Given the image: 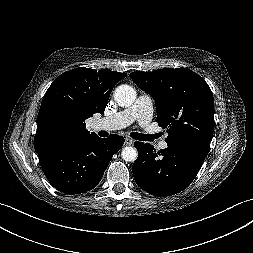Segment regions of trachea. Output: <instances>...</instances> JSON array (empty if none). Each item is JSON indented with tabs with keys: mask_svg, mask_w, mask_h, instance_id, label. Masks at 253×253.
Returning a JSON list of instances; mask_svg holds the SVG:
<instances>
[{
	"mask_svg": "<svg viewBox=\"0 0 253 253\" xmlns=\"http://www.w3.org/2000/svg\"><path fill=\"white\" fill-rule=\"evenodd\" d=\"M132 138L136 139V140H140V141H147L148 136L146 134H141V133H137V132H133L131 133Z\"/></svg>",
	"mask_w": 253,
	"mask_h": 253,
	"instance_id": "1",
	"label": "trachea"
}]
</instances>
